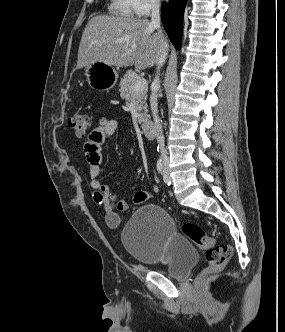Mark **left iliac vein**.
<instances>
[{
  "mask_svg": "<svg viewBox=\"0 0 285 332\" xmlns=\"http://www.w3.org/2000/svg\"><path fill=\"white\" fill-rule=\"evenodd\" d=\"M163 179L165 183H169L170 182V176H169V170H168V166L165 163L164 165V170H163Z\"/></svg>",
  "mask_w": 285,
  "mask_h": 332,
  "instance_id": "1",
  "label": "left iliac vein"
}]
</instances>
